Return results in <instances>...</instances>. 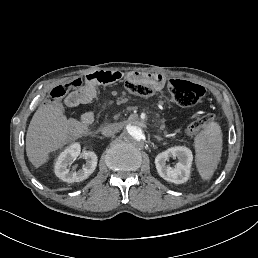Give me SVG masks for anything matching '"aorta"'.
Here are the masks:
<instances>
[{
	"instance_id": "762f6f07",
	"label": "aorta",
	"mask_w": 258,
	"mask_h": 258,
	"mask_svg": "<svg viewBox=\"0 0 258 258\" xmlns=\"http://www.w3.org/2000/svg\"><path fill=\"white\" fill-rule=\"evenodd\" d=\"M126 139L129 141L137 142L142 140L144 133L142 128L137 125H128L125 131Z\"/></svg>"
}]
</instances>
